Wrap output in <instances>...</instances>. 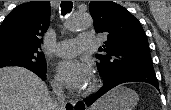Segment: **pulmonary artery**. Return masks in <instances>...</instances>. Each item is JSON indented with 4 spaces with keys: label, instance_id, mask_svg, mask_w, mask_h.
<instances>
[{
    "label": "pulmonary artery",
    "instance_id": "1",
    "mask_svg": "<svg viewBox=\"0 0 171 110\" xmlns=\"http://www.w3.org/2000/svg\"><path fill=\"white\" fill-rule=\"evenodd\" d=\"M95 44L93 33H82L75 39H67L58 42L53 51L57 56L72 57L79 54L82 50L90 48Z\"/></svg>",
    "mask_w": 171,
    "mask_h": 110
}]
</instances>
